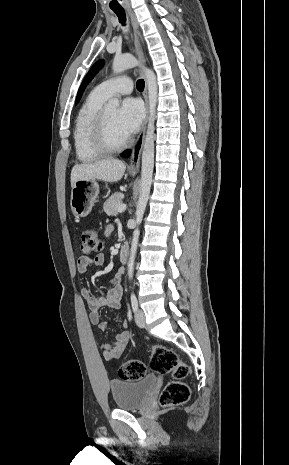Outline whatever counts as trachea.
I'll return each mask as SVG.
<instances>
[{
	"mask_svg": "<svg viewBox=\"0 0 289 465\" xmlns=\"http://www.w3.org/2000/svg\"><path fill=\"white\" fill-rule=\"evenodd\" d=\"M113 11L118 16L120 23L124 24L125 21H126L125 11L124 10H113ZM136 87H137L138 91H143V89H144V80L139 79L137 81V83H136Z\"/></svg>",
	"mask_w": 289,
	"mask_h": 465,
	"instance_id": "obj_1",
	"label": "trachea"
}]
</instances>
